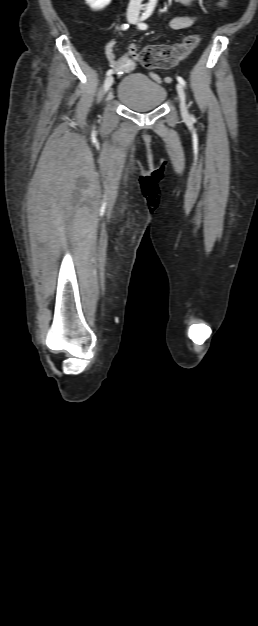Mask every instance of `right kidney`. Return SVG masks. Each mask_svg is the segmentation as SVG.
Here are the masks:
<instances>
[{
	"label": "right kidney",
	"mask_w": 258,
	"mask_h": 626,
	"mask_svg": "<svg viewBox=\"0 0 258 626\" xmlns=\"http://www.w3.org/2000/svg\"><path fill=\"white\" fill-rule=\"evenodd\" d=\"M94 11H100L110 4L112 0H85Z\"/></svg>",
	"instance_id": "right-kidney-1"
}]
</instances>
